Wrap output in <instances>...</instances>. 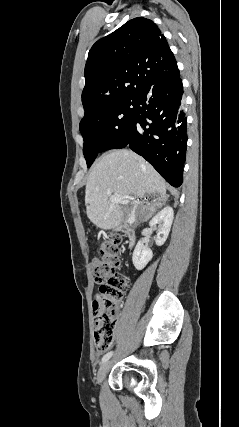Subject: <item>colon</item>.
Masks as SVG:
<instances>
[{
	"label": "colon",
	"mask_w": 239,
	"mask_h": 427,
	"mask_svg": "<svg viewBox=\"0 0 239 427\" xmlns=\"http://www.w3.org/2000/svg\"><path fill=\"white\" fill-rule=\"evenodd\" d=\"M121 241L113 234L98 246L99 256L91 262V273L98 293L93 302L95 346L106 351L113 343L117 309L127 289V279L119 272Z\"/></svg>",
	"instance_id": "5ec220e1"
}]
</instances>
